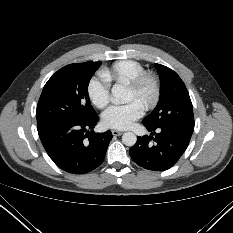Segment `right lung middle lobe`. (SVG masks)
<instances>
[{
	"label": "right lung middle lobe",
	"mask_w": 233,
	"mask_h": 233,
	"mask_svg": "<svg viewBox=\"0 0 233 233\" xmlns=\"http://www.w3.org/2000/svg\"><path fill=\"white\" fill-rule=\"evenodd\" d=\"M100 62L67 65L45 84L37 110V127L50 122L85 121L96 115L89 103L88 84Z\"/></svg>",
	"instance_id": "obj_1"
}]
</instances>
